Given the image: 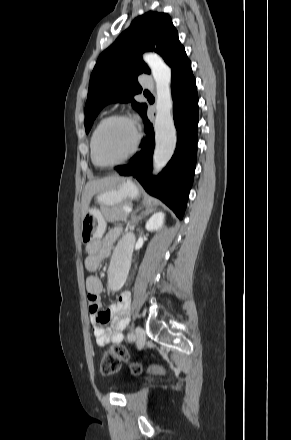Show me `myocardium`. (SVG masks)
Here are the masks:
<instances>
[{
  "mask_svg": "<svg viewBox=\"0 0 291 440\" xmlns=\"http://www.w3.org/2000/svg\"><path fill=\"white\" fill-rule=\"evenodd\" d=\"M113 120H123V121H126V122H128L130 124V126H131V128L133 130V133H134V142H133V145H132L130 151L128 152V154L123 159H121L119 161H115V162H101V161L98 160L97 155H96V139H97V135H98L99 131L101 130V128L106 123H108L110 121H113ZM140 138H141L140 133H139L137 127H136V124H135L134 120L131 117H129V116L125 115V114H121V113H115V114H112V115H109V116L105 117L104 119H102L100 121V123L98 124V126L96 127V129L94 130L93 135H92V140H91V157H92L93 163L95 165H97V166H100V167H109V168L120 166V165L126 163L137 152L139 144H140Z\"/></svg>",
  "mask_w": 291,
  "mask_h": 440,
  "instance_id": "1",
  "label": "myocardium"
}]
</instances>
